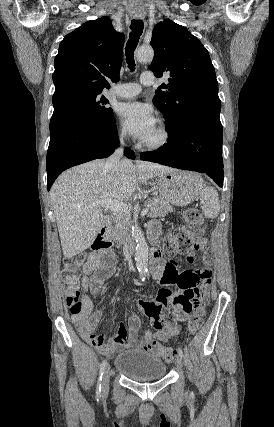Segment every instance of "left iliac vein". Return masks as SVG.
I'll use <instances>...</instances> for the list:
<instances>
[{"instance_id": "obj_1", "label": "left iliac vein", "mask_w": 274, "mask_h": 427, "mask_svg": "<svg viewBox=\"0 0 274 427\" xmlns=\"http://www.w3.org/2000/svg\"><path fill=\"white\" fill-rule=\"evenodd\" d=\"M175 367L177 368V370H181L183 367L182 358L179 355L175 359Z\"/></svg>"}]
</instances>
